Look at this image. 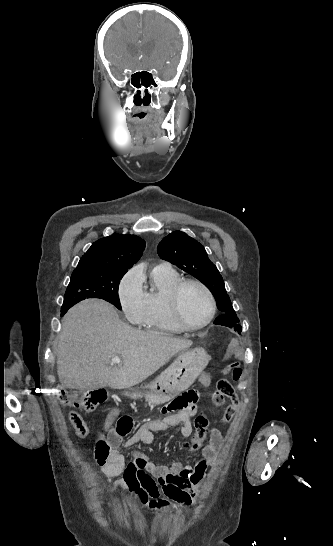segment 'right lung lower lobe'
<instances>
[{
	"instance_id": "obj_1",
	"label": "right lung lower lobe",
	"mask_w": 333,
	"mask_h": 546,
	"mask_svg": "<svg viewBox=\"0 0 333 546\" xmlns=\"http://www.w3.org/2000/svg\"><path fill=\"white\" fill-rule=\"evenodd\" d=\"M61 312H62V313H61V316H63L67 311L64 310V311H61Z\"/></svg>"
}]
</instances>
